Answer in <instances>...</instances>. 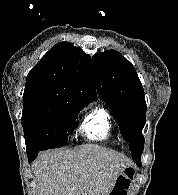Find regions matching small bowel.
<instances>
[{"label":"small bowel","mask_w":178,"mask_h":195,"mask_svg":"<svg viewBox=\"0 0 178 195\" xmlns=\"http://www.w3.org/2000/svg\"><path fill=\"white\" fill-rule=\"evenodd\" d=\"M126 188H127V186L126 187H123L122 189H121V191H119L118 192V195H125V190H126Z\"/></svg>","instance_id":"small-bowel-1"}]
</instances>
